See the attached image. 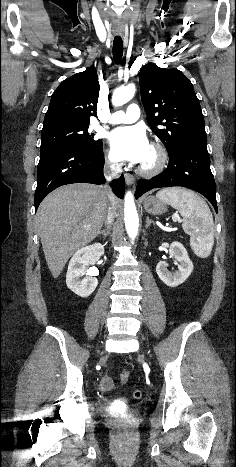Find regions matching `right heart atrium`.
<instances>
[{"mask_svg":"<svg viewBox=\"0 0 236 467\" xmlns=\"http://www.w3.org/2000/svg\"><path fill=\"white\" fill-rule=\"evenodd\" d=\"M107 161L112 167L117 168L119 166V163L111 150L108 152Z\"/></svg>","mask_w":236,"mask_h":467,"instance_id":"1","label":"right heart atrium"}]
</instances>
